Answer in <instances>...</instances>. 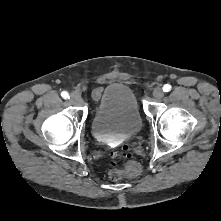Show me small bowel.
I'll return each mask as SVG.
<instances>
[{
	"label": "small bowel",
	"instance_id": "small-bowel-1",
	"mask_svg": "<svg viewBox=\"0 0 221 221\" xmlns=\"http://www.w3.org/2000/svg\"><path fill=\"white\" fill-rule=\"evenodd\" d=\"M101 92H102V88H96L94 91H93V97L95 100H98L100 95H101Z\"/></svg>",
	"mask_w": 221,
	"mask_h": 221
}]
</instances>
